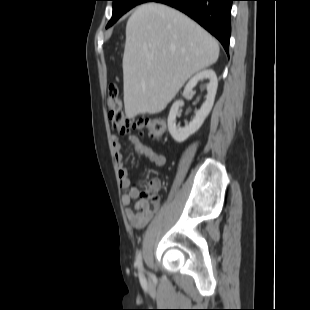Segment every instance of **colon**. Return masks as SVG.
I'll use <instances>...</instances> for the list:
<instances>
[{
    "label": "colon",
    "mask_w": 310,
    "mask_h": 310,
    "mask_svg": "<svg viewBox=\"0 0 310 310\" xmlns=\"http://www.w3.org/2000/svg\"><path fill=\"white\" fill-rule=\"evenodd\" d=\"M108 107L109 119L121 133H127L131 130L146 131L151 138L158 139L166 131V120L163 117L140 118L138 120L128 118L119 97L118 87L115 84L108 87ZM140 189V193L146 196L147 203H158L159 196L154 182H142Z\"/></svg>",
    "instance_id": "obj_1"
}]
</instances>
